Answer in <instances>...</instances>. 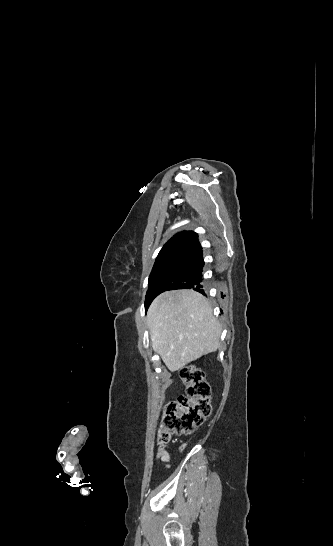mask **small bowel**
<instances>
[{"label": "small bowel", "instance_id": "small-bowel-1", "mask_svg": "<svg viewBox=\"0 0 333 546\" xmlns=\"http://www.w3.org/2000/svg\"><path fill=\"white\" fill-rule=\"evenodd\" d=\"M156 459H157V462H163L168 467V463L170 461V454L167 450L160 447L157 451Z\"/></svg>", "mask_w": 333, "mask_h": 546}]
</instances>
